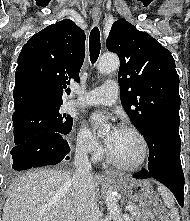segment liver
Listing matches in <instances>:
<instances>
[{
    "mask_svg": "<svg viewBox=\"0 0 190 221\" xmlns=\"http://www.w3.org/2000/svg\"><path fill=\"white\" fill-rule=\"evenodd\" d=\"M94 190L98 177L92 176ZM77 195L66 170L38 169L16 179L4 204L2 221H75Z\"/></svg>",
    "mask_w": 190,
    "mask_h": 221,
    "instance_id": "liver-1",
    "label": "liver"
}]
</instances>
